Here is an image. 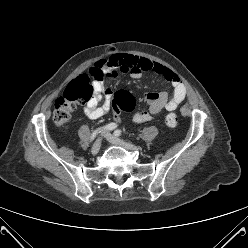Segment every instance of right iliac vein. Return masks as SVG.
<instances>
[{"mask_svg": "<svg viewBox=\"0 0 248 248\" xmlns=\"http://www.w3.org/2000/svg\"><path fill=\"white\" fill-rule=\"evenodd\" d=\"M101 142H102V139L99 138V139H97L96 142L93 144V146H92V148H91V153H92L93 155H96V154L99 152L100 147H101Z\"/></svg>", "mask_w": 248, "mask_h": 248, "instance_id": "obj_1", "label": "right iliac vein"}]
</instances>
